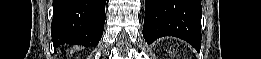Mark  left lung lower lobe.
I'll return each mask as SVG.
<instances>
[{"instance_id": "0a47b994", "label": "left lung lower lobe", "mask_w": 261, "mask_h": 59, "mask_svg": "<svg viewBox=\"0 0 261 59\" xmlns=\"http://www.w3.org/2000/svg\"><path fill=\"white\" fill-rule=\"evenodd\" d=\"M201 15L200 0H145L143 37L150 44L163 36H175L199 51Z\"/></svg>"}]
</instances>
